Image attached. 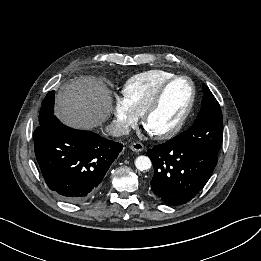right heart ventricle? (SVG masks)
<instances>
[{"instance_id": "1", "label": "right heart ventricle", "mask_w": 261, "mask_h": 261, "mask_svg": "<svg viewBox=\"0 0 261 261\" xmlns=\"http://www.w3.org/2000/svg\"><path fill=\"white\" fill-rule=\"evenodd\" d=\"M173 76L174 73L159 69L134 75L123 86V98L133 111L141 116L160 87Z\"/></svg>"}]
</instances>
